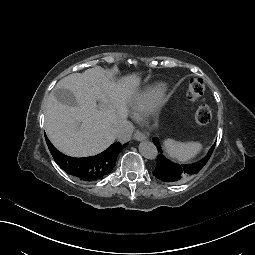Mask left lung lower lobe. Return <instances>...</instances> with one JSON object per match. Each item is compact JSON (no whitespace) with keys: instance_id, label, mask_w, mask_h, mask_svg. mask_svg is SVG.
Instances as JSON below:
<instances>
[{"instance_id":"0a47b994","label":"left lung lower lobe","mask_w":255,"mask_h":255,"mask_svg":"<svg viewBox=\"0 0 255 255\" xmlns=\"http://www.w3.org/2000/svg\"><path fill=\"white\" fill-rule=\"evenodd\" d=\"M154 146L158 147L155 160L159 163L156 167L151 169L152 176L159 178L161 182H167V184H174L186 180V178H192L194 173L201 171V168H205L207 163H210V153L215 150L216 143H211L204 156L201 158H195L191 160H175L170 154H165L162 141L159 138H154L152 141ZM196 164V166H193Z\"/></svg>"}]
</instances>
